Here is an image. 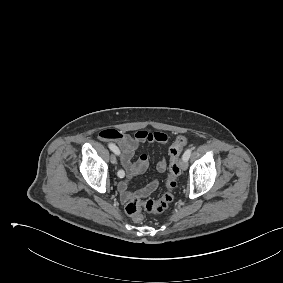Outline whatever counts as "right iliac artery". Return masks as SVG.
Here are the masks:
<instances>
[{"mask_svg":"<svg viewBox=\"0 0 283 283\" xmlns=\"http://www.w3.org/2000/svg\"><path fill=\"white\" fill-rule=\"evenodd\" d=\"M108 147H109V149H110L112 152H114L116 155H119V149H118V147H117L115 144L109 143V144H108ZM121 173H122V171L119 170V171H118V176H120Z\"/></svg>","mask_w":283,"mask_h":283,"instance_id":"1","label":"right iliac artery"}]
</instances>
